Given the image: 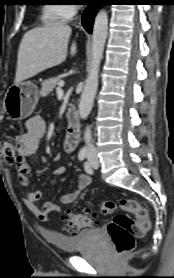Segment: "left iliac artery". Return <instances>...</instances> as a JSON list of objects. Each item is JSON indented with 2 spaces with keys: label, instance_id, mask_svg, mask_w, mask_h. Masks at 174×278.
I'll use <instances>...</instances> for the list:
<instances>
[{
  "label": "left iliac artery",
  "instance_id": "44dca946",
  "mask_svg": "<svg viewBox=\"0 0 174 278\" xmlns=\"http://www.w3.org/2000/svg\"><path fill=\"white\" fill-rule=\"evenodd\" d=\"M84 168H85V171H86L87 173H89V174L92 173V170H91V168H90V166H89L88 163H85Z\"/></svg>",
  "mask_w": 174,
  "mask_h": 278
}]
</instances>
